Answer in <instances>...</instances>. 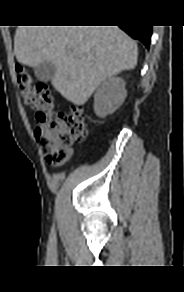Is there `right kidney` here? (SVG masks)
Listing matches in <instances>:
<instances>
[{
	"label": "right kidney",
	"mask_w": 184,
	"mask_h": 292,
	"mask_svg": "<svg viewBox=\"0 0 184 292\" xmlns=\"http://www.w3.org/2000/svg\"><path fill=\"white\" fill-rule=\"evenodd\" d=\"M125 81L120 77H110L104 81L94 95V111L98 117L113 113L125 100Z\"/></svg>",
	"instance_id": "ca27d5eb"
}]
</instances>
